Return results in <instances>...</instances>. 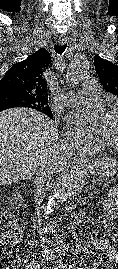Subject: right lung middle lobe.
<instances>
[{
	"label": "right lung middle lobe",
	"instance_id": "right-lung-middle-lobe-1",
	"mask_svg": "<svg viewBox=\"0 0 118 269\" xmlns=\"http://www.w3.org/2000/svg\"><path fill=\"white\" fill-rule=\"evenodd\" d=\"M8 102L10 103V107H29L34 108L36 110L47 108V103L39 101L37 99L24 96L13 94L8 96Z\"/></svg>",
	"mask_w": 118,
	"mask_h": 269
}]
</instances>
